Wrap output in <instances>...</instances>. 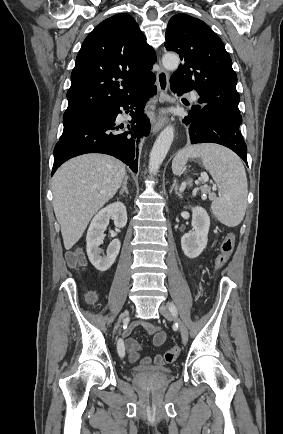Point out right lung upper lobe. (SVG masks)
<instances>
[{
  "instance_id": "cb5924a9",
  "label": "right lung upper lobe",
  "mask_w": 283,
  "mask_h": 434,
  "mask_svg": "<svg viewBox=\"0 0 283 434\" xmlns=\"http://www.w3.org/2000/svg\"><path fill=\"white\" fill-rule=\"evenodd\" d=\"M155 61L153 48L132 16L122 13L104 20L78 52L63 119L93 115L124 99L153 75Z\"/></svg>"
}]
</instances>
